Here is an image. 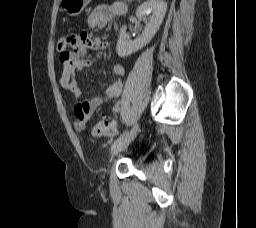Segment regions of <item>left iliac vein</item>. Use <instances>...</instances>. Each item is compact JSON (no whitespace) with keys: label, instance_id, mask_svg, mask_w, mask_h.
<instances>
[{"label":"left iliac vein","instance_id":"1","mask_svg":"<svg viewBox=\"0 0 256 228\" xmlns=\"http://www.w3.org/2000/svg\"><path fill=\"white\" fill-rule=\"evenodd\" d=\"M138 132V124H135L133 128L126 132L120 140L116 141L111 147V154L112 156L118 154L120 151L125 149L135 138Z\"/></svg>","mask_w":256,"mask_h":228}]
</instances>
